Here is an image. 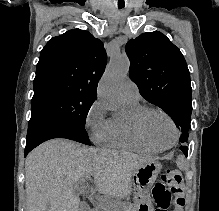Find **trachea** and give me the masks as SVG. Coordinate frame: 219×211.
Masks as SVG:
<instances>
[{
    "label": "trachea",
    "mask_w": 219,
    "mask_h": 211,
    "mask_svg": "<svg viewBox=\"0 0 219 211\" xmlns=\"http://www.w3.org/2000/svg\"><path fill=\"white\" fill-rule=\"evenodd\" d=\"M118 8L119 9L124 8V5H118Z\"/></svg>",
    "instance_id": "obj_1"
}]
</instances>
